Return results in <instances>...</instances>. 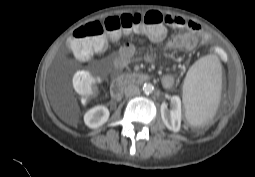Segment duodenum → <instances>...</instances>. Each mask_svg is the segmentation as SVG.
I'll return each mask as SVG.
<instances>
[{
	"label": "duodenum",
	"instance_id": "1",
	"mask_svg": "<svg viewBox=\"0 0 255 177\" xmlns=\"http://www.w3.org/2000/svg\"><path fill=\"white\" fill-rule=\"evenodd\" d=\"M149 80L144 73H128L116 77L111 84V92L115 98H119L123 89L129 84H140Z\"/></svg>",
	"mask_w": 255,
	"mask_h": 177
}]
</instances>
